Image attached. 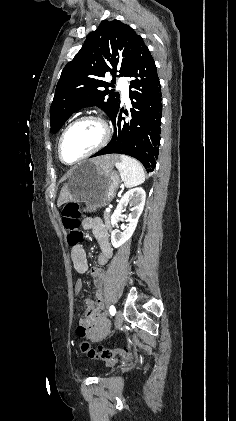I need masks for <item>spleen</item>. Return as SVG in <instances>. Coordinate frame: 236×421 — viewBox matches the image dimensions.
<instances>
[{
    "label": "spleen",
    "instance_id": "1",
    "mask_svg": "<svg viewBox=\"0 0 236 421\" xmlns=\"http://www.w3.org/2000/svg\"><path fill=\"white\" fill-rule=\"evenodd\" d=\"M119 158L116 166L125 186L131 188V186H137V184L144 182L145 172L141 162H138L136 158H131V156H125V154H120Z\"/></svg>",
    "mask_w": 236,
    "mask_h": 421
}]
</instances>
